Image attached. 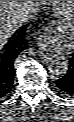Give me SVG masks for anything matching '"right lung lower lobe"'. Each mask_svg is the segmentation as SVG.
Returning a JSON list of instances; mask_svg holds the SVG:
<instances>
[{"instance_id": "1", "label": "right lung lower lobe", "mask_w": 74, "mask_h": 122, "mask_svg": "<svg viewBox=\"0 0 74 122\" xmlns=\"http://www.w3.org/2000/svg\"><path fill=\"white\" fill-rule=\"evenodd\" d=\"M24 26L20 32L12 36V40L0 50V98L6 96L14 87V61L18 54L28 46L25 42Z\"/></svg>"}]
</instances>
